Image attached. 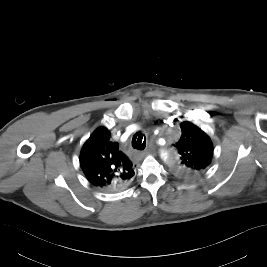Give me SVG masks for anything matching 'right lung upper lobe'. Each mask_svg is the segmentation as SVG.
<instances>
[{
  "label": "right lung upper lobe",
  "instance_id": "obj_1",
  "mask_svg": "<svg viewBox=\"0 0 267 267\" xmlns=\"http://www.w3.org/2000/svg\"><path fill=\"white\" fill-rule=\"evenodd\" d=\"M80 165L94 187L103 190H122L129 186L134 175L132 162L110 140L109 131L100 127L83 145Z\"/></svg>",
  "mask_w": 267,
  "mask_h": 267
}]
</instances>
